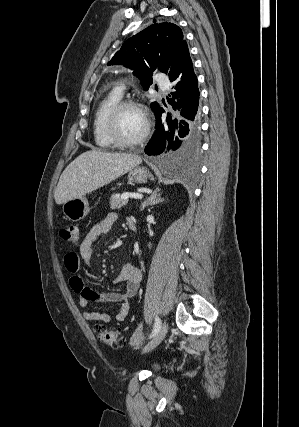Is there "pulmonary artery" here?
<instances>
[{"instance_id": "obj_1", "label": "pulmonary artery", "mask_w": 299, "mask_h": 427, "mask_svg": "<svg viewBox=\"0 0 299 427\" xmlns=\"http://www.w3.org/2000/svg\"><path fill=\"white\" fill-rule=\"evenodd\" d=\"M158 83L160 84V86L163 88V89H166L168 86H169V81L166 79V77L163 75V74H160L159 75V77H158ZM114 90L116 91V92H118L119 94H123V92H124V90H125V84L123 83V82H119L116 86H115V88H114Z\"/></svg>"}]
</instances>
